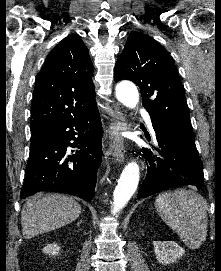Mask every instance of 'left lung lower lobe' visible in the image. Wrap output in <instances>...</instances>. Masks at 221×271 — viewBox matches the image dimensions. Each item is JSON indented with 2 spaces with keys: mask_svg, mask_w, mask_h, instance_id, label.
<instances>
[{
  "mask_svg": "<svg viewBox=\"0 0 221 271\" xmlns=\"http://www.w3.org/2000/svg\"><path fill=\"white\" fill-rule=\"evenodd\" d=\"M152 126L159 146V149L154 148L161 156L158 157L143 148L148 169L137 197H148L183 185H194L200 189L203 185V167L194 140L186 138L163 123L152 120ZM145 137L151 141L148 133Z\"/></svg>",
  "mask_w": 221,
  "mask_h": 271,
  "instance_id": "1",
  "label": "left lung lower lobe"
}]
</instances>
